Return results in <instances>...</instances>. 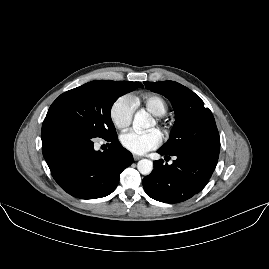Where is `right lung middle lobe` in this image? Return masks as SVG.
<instances>
[{
    "label": "right lung middle lobe",
    "mask_w": 269,
    "mask_h": 269,
    "mask_svg": "<svg viewBox=\"0 0 269 269\" xmlns=\"http://www.w3.org/2000/svg\"><path fill=\"white\" fill-rule=\"evenodd\" d=\"M139 87H108L92 81L61 94L50 106L46 117L67 121L90 138L116 139L111 107L120 96Z\"/></svg>",
    "instance_id": "obj_1"
}]
</instances>
